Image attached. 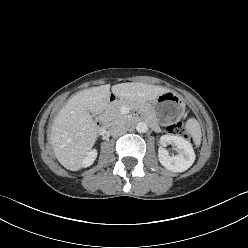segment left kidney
Wrapping results in <instances>:
<instances>
[{"instance_id": "obj_1", "label": "left kidney", "mask_w": 248, "mask_h": 248, "mask_svg": "<svg viewBox=\"0 0 248 248\" xmlns=\"http://www.w3.org/2000/svg\"><path fill=\"white\" fill-rule=\"evenodd\" d=\"M166 145L175 146L177 155H169V152L164 148ZM158 157L161 165L173 172H184L195 161V153L189 141L172 134L161 136Z\"/></svg>"}]
</instances>
